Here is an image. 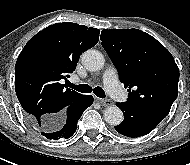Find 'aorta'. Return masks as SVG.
<instances>
[{
	"label": "aorta",
	"instance_id": "762f6f07",
	"mask_svg": "<svg viewBox=\"0 0 190 165\" xmlns=\"http://www.w3.org/2000/svg\"><path fill=\"white\" fill-rule=\"evenodd\" d=\"M104 63V56L97 50L89 49L82 54V64L89 71L101 70ZM104 119L110 125H119L123 121V113L117 106H109L104 111Z\"/></svg>",
	"mask_w": 190,
	"mask_h": 165
}]
</instances>
